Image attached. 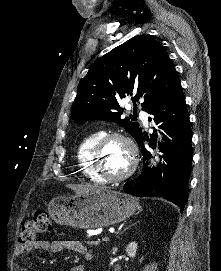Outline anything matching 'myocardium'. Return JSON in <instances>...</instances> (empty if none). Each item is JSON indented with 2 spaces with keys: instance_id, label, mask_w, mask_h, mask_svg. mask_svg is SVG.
I'll return each instance as SVG.
<instances>
[{
  "instance_id": "obj_1",
  "label": "myocardium",
  "mask_w": 221,
  "mask_h": 271,
  "mask_svg": "<svg viewBox=\"0 0 221 271\" xmlns=\"http://www.w3.org/2000/svg\"><path fill=\"white\" fill-rule=\"evenodd\" d=\"M107 138H101L99 140V145H96V151L95 153H92L91 158L93 162V169L97 173V175H100L101 178H110V183H117V178H130V175L133 174L136 167L139 166L138 160V145H134L133 142H130V140H133V137L130 136L129 133L124 131V129H121L120 131H109ZM110 142H121L122 150H128L127 153H124V158H126V161L129 164V167L126 168L124 172L121 173V175H109L107 172L103 171V167L101 164V155L104 154L105 145H109Z\"/></svg>"
}]
</instances>
